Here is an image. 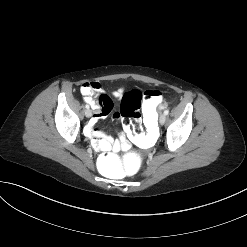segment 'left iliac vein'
Wrapping results in <instances>:
<instances>
[{
	"label": "left iliac vein",
	"instance_id": "obj_1",
	"mask_svg": "<svg viewBox=\"0 0 247 247\" xmlns=\"http://www.w3.org/2000/svg\"><path fill=\"white\" fill-rule=\"evenodd\" d=\"M165 121H166V115L161 114L159 117V123L163 125L165 123Z\"/></svg>",
	"mask_w": 247,
	"mask_h": 247
}]
</instances>
